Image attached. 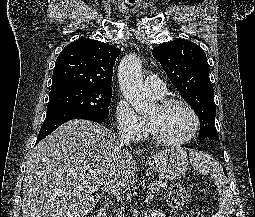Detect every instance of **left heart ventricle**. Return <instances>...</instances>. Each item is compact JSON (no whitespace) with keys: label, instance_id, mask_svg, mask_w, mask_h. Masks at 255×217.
<instances>
[{"label":"left heart ventricle","instance_id":"obj_1","mask_svg":"<svg viewBox=\"0 0 255 217\" xmlns=\"http://www.w3.org/2000/svg\"><path fill=\"white\" fill-rule=\"evenodd\" d=\"M147 118L162 137L170 140L187 137L194 124L189 110L181 104H174L166 109H161L157 105Z\"/></svg>","mask_w":255,"mask_h":217}]
</instances>
